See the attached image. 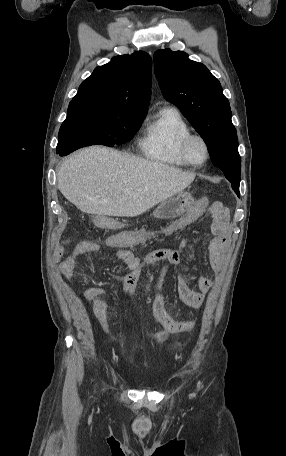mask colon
Segmentation results:
<instances>
[{
    "label": "colon",
    "instance_id": "5ec220e1",
    "mask_svg": "<svg viewBox=\"0 0 286 456\" xmlns=\"http://www.w3.org/2000/svg\"><path fill=\"white\" fill-rule=\"evenodd\" d=\"M199 203L207 205L208 201L206 199H202ZM209 205L213 210H218V209L222 208L221 203L218 201L211 202V203H209Z\"/></svg>",
    "mask_w": 286,
    "mask_h": 456
}]
</instances>
